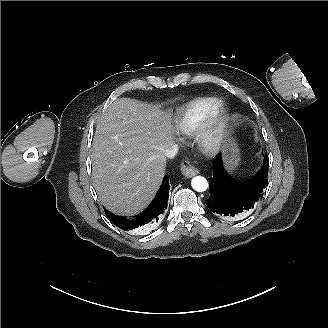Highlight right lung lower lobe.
<instances>
[{
  "label": "right lung lower lobe",
  "instance_id": "obj_1",
  "mask_svg": "<svg viewBox=\"0 0 328 328\" xmlns=\"http://www.w3.org/2000/svg\"><path fill=\"white\" fill-rule=\"evenodd\" d=\"M169 189L168 175H166L156 197L142 213L133 217L115 215L106 210L105 213L114 225L125 231L144 229L149 223L157 222L164 209L168 206Z\"/></svg>",
  "mask_w": 328,
  "mask_h": 328
}]
</instances>
